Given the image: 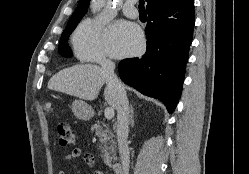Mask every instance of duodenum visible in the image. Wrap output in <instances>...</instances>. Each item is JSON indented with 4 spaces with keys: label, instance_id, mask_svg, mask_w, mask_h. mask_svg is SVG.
<instances>
[{
    "label": "duodenum",
    "instance_id": "1",
    "mask_svg": "<svg viewBox=\"0 0 249 174\" xmlns=\"http://www.w3.org/2000/svg\"><path fill=\"white\" fill-rule=\"evenodd\" d=\"M112 170H113L114 174H123V169H122V166L120 164H113Z\"/></svg>",
    "mask_w": 249,
    "mask_h": 174
}]
</instances>
